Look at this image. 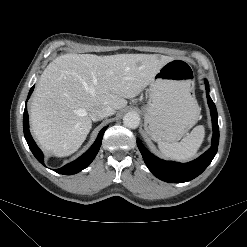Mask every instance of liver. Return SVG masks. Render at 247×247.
Wrapping results in <instances>:
<instances>
[{
    "instance_id": "obj_1",
    "label": "liver",
    "mask_w": 247,
    "mask_h": 247,
    "mask_svg": "<svg viewBox=\"0 0 247 247\" xmlns=\"http://www.w3.org/2000/svg\"><path fill=\"white\" fill-rule=\"evenodd\" d=\"M174 58L155 54H65L43 71L30 107L31 130L41 148L69 156L85 141L90 112L101 105L121 110Z\"/></svg>"
}]
</instances>
